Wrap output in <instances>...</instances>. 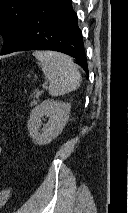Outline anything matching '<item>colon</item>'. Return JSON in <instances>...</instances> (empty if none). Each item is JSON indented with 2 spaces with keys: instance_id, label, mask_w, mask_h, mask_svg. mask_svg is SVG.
I'll use <instances>...</instances> for the list:
<instances>
[{
  "instance_id": "5ec220e1",
  "label": "colon",
  "mask_w": 128,
  "mask_h": 213,
  "mask_svg": "<svg viewBox=\"0 0 128 213\" xmlns=\"http://www.w3.org/2000/svg\"><path fill=\"white\" fill-rule=\"evenodd\" d=\"M10 189L0 191V207L6 202L9 197Z\"/></svg>"
}]
</instances>
